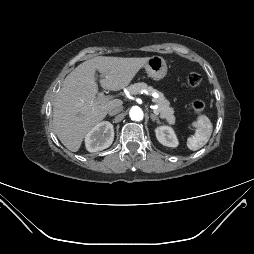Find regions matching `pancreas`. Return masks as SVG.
Instances as JSON below:
<instances>
[{"instance_id":"pancreas-1","label":"pancreas","mask_w":254,"mask_h":254,"mask_svg":"<svg viewBox=\"0 0 254 254\" xmlns=\"http://www.w3.org/2000/svg\"><path fill=\"white\" fill-rule=\"evenodd\" d=\"M141 90H146L150 95L158 92L151 86H148L146 83H135L128 87L130 94L134 95L140 92ZM153 101L157 104L158 113L162 119H165L170 124L175 123L174 109L170 107L169 101L164 97L161 92H158V97L154 98Z\"/></svg>"}]
</instances>
